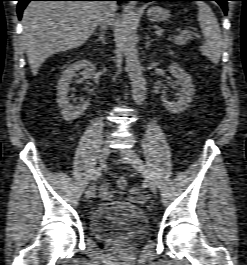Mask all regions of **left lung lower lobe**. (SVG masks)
Here are the masks:
<instances>
[{
  "label": "left lung lower lobe",
  "mask_w": 247,
  "mask_h": 265,
  "mask_svg": "<svg viewBox=\"0 0 247 265\" xmlns=\"http://www.w3.org/2000/svg\"><path fill=\"white\" fill-rule=\"evenodd\" d=\"M134 1H177V0H134ZM189 1H199V0H189ZM203 1H216L223 9L224 13L227 14V1L229 0H203Z\"/></svg>",
  "instance_id": "0a47b994"
}]
</instances>
